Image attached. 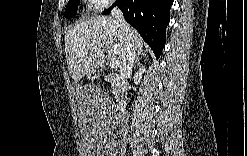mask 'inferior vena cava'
Instances as JSON below:
<instances>
[{"instance_id":"inferior-vena-cava-1","label":"inferior vena cava","mask_w":247,"mask_h":156,"mask_svg":"<svg viewBox=\"0 0 247 156\" xmlns=\"http://www.w3.org/2000/svg\"><path fill=\"white\" fill-rule=\"evenodd\" d=\"M111 16L114 22L119 27L120 31L126 36V45H125L126 49L122 56V62L119 66L120 68L119 80L115 85V91H119L122 94H124L126 79L132 73V67L137 57V53L134 45L130 41V37H129L130 27L126 23L122 11L119 8H114L111 11Z\"/></svg>"}]
</instances>
